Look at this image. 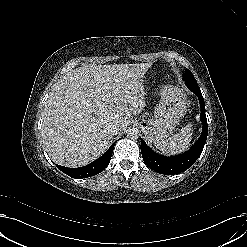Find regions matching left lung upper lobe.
<instances>
[{
  "label": "left lung upper lobe",
  "mask_w": 247,
  "mask_h": 247,
  "mask_svg": "<svg viewBox=\"0 0 247 247\" xmlns=\"http://www.w3.org/2000/svg\"><path fill=\"white\" fill-rule=\"evenodd\" d=\"M183 80L187 85H197V81L195 80L194 75L188 69L185 70V74L183 75Z\"/></svg>",
  "instance_id": "left-lung-upper-lobe-1"
}]
</instances>
